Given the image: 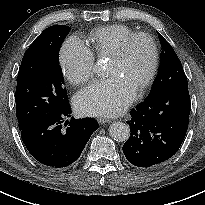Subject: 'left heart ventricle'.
<instances>
[{"instance_id":"b2bd125f","label":"left heart ventricle","mask_w":205,"mask_h":205,"mask_svg":"<svg viewBox=\"0 0 205 205\" xmlns=\"http://www.w3.org/2000/svg\"><path fill=\"white\" fill-rule=\"evenodd\" d=\"M151 59L152 52L148 41L139 38L130 45L122 60L110 59L109 75L125 78L137 89L149 72Z\"/></svg>"}]
</instances>
